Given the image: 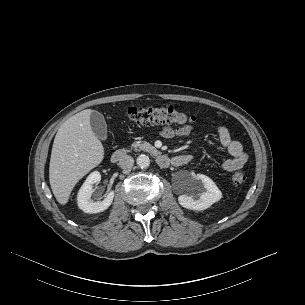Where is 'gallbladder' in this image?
Here are the masks:
<instances>
[{"mask_svg":"<svg viewBox=\"0 0 305 305\" xmlns=\"http://www.w3.org/2000/svg\"><path fill=\"white\" fill-rule=\"evenodd\" d=\"M90 124L97 138L103 141L107 139L108 136L107 124L104 119V116L100 112L98 111L92 112L90 116Z\"/></svg>","mask_w":305,"mask_h":305,"instance_id":"gallbladder-1","label":"gallbladder"}]
</instances>
